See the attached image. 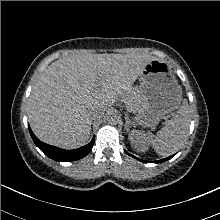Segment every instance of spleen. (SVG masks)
<instances>
[{
  "label": "spleen",
  "instance_id": "obj_1",
  "mask_svg": "<svg viewBox=\"0 0 220 220\" xmlns=\"http://www.w3.org/2000/svg\"><path fill=\"white\" fill-rule=\"evenodd\" d=\"M189 125L190 108L187 100H184L177 114L150 139L156 153L160 156H169L178 151L188 137Z\"/></svg>",
  "mask_w": 220,
  "mask_h": 220
}]
</instances>
